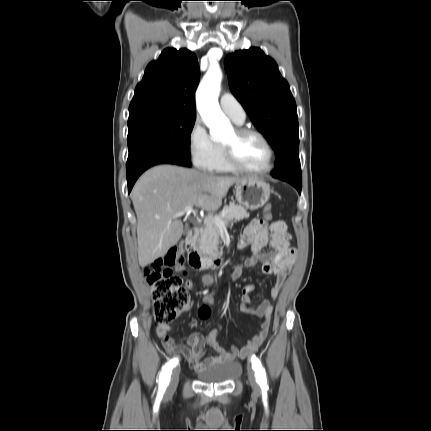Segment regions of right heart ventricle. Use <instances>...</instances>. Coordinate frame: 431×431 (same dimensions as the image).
Wrapping results in <instances>:
<instances>
[{"mask_svg":"<svg viewBox=\"0 0 431 431\" xmlns=\"http://www.w3.org/2000/svg\"><path fill=\"white\" fill-rule=\"evenodd\" d=\"M220 146H221L220 155H219V158L216 162V165H215L213 171L218 172V173H229V172L234 171L229 166V164L227 163L223 145L220 144Z\"/></svg>","mask_w":431,"mask_h":431,"instance_id":"obj_1","label":"right heart ventricle"}]
</instances>
